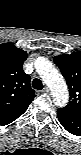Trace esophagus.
Wrapping results in <instances>:
<instances>
[{
  "instance_id": "obj_1",
  "label": "esophagus",
  "mask_w": 81,
  "mask_h": 155,
  "mask_svg": "<svg viewBox=\"0 0 81 155\" xmlns=\"http://www.w3.org/2000/svg\"><path fill=\"white\" fill-rule=\"evenodd\" d=\"M42 91L45 92V93H48L49 89H48V87H44Z\"/></svg>"
}]
</instances>
